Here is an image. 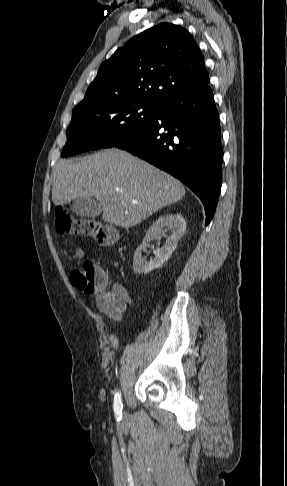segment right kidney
Segmentation results:
<instances>
[{
    "label": "right kidney",
    "instance_id": "right-kidney-1",
    "mask_svg": "<svg viewBox=\"0 0 287 486\" xmlns=\"http://www.w3.org/2000/svg\"><path fill=\"white\" fill-rule=\"evenodd\" d=\"M164 227L172 228V234L167 237L166 243L162 248H157L154 251V258L146 261L142 258L141 253L145 250L148 241L153 237L161 238L164 233ZM186 229V221L181 214H167L160 216L151 227L148 229L142 244L136 249L133 256V270L136 273L147 274L152 270L159 268L167 261L173 251L176 249L179 239L182 237Z\"/></svg>",
    "mask_w": 287,
    "mask_h": 486
}]
</instances>
